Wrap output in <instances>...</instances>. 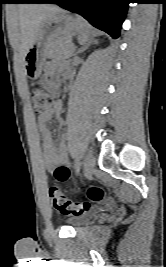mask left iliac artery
<instances>
[{
    "instance_id": "1",
    "label": "left iliac artery",
    "mask_w": 166,
    "mask_h": 267,
    "mask_svg": "<svg viewBox=\"0 0 166 267\" xmlns=\"http://www.w3.org/2000/svg\"><path fill=\"white\" fill-rule=\"evenodd\" d=\"M80 166H81L80 157L77 156L76 160H75V172H76V174L79 173Z\"/></svg>"
}]
</instances>
